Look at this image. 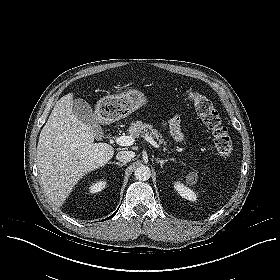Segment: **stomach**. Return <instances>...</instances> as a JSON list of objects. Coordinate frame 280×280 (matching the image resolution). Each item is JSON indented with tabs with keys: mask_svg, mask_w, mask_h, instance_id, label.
<instances>
[{
	"mask_svg": "<svg viewBox=\"0 0 280 280\" xmlns=\"http://www.w3.org/2000/svg\"><path fill=\"white\" fill-rule=\"evenodd\" d=\"M146 96L136 89L117 95H109L98 102L99 112L110 122L125 118L137 109L145 106Z\"/></svg>",
	"mask_w": 280,
	"mask_h": 280,
	"instance_id": "0dacf381",
	"label": "stomach"
}]
</instances>
